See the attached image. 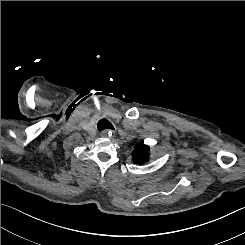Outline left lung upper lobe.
<instances>
[{
  "mask_svg": "<svg viewBox=\"0 0 245 245\" xmlns=\"http://www.w3.org/2000/svg\"><path fill=\"white\" fill-rule=\"evenodd\" d=\"M150 148L143 143H139L135 146L132 152V160L135 164H142L149 160Z\"/></svg>",
  "mask_w": 245,
  "mask_h": 245,
  "instance_id": "1",
  "label": "left lung upper lobe"
}]
</instances>
